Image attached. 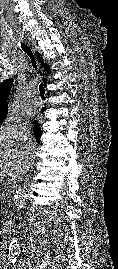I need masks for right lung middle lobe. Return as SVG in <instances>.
Segmentation results:
<instances>
[{"instance_id": "dd1d6c3e", "label": "right lung middle lobe", "mask_w": 118, "mask_h": 269, "mask_svg": "<svg viewBox=\"0 0 118 269\" xmlns=\"http://www.w3.org/2000/svg\"><path fill=\"white\" fill-rule=\"evenodd\" d=\"M7 117V106H3L0 108V123Z\"/></svg>"}]
</instances>
